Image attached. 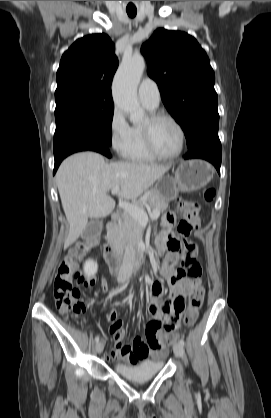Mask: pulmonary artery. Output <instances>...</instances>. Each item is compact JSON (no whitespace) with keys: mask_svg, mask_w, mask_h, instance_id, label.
Here are the masks:
<instances>
[{"mask_svg":"<svg viewBox=\"0 0 271 418\" xmlns=\"http://www.w3.org/2000/svg\"><path fill=\"white\" fill-rule=\"evenodd\" d=\"M138 96L140 102L150 109H155L159 105L160 91L156 82L150 78H145L140 83Z\"/></svg>","mask_w":271,"mask_h":418,"instance_id":"obj_1","label":"pulmonary artery"}]
</instances>
